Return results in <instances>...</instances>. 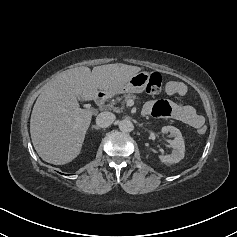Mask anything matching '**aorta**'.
Instances as JSON below:
<instances>
[{"instance_id": "1", "label": "aorta", "mask_w": 237, "mask_h": 237, "mask_svg": "<svg viewBox=\"0 0 237 237\" xmlns=\"http://www.w3.org/2000/svg\"><path fill=\"white\" fill-rule=\"evenodd\" d=\"M120 131L127 133L133 130V124L130 120L124 119L119 122Z\"/></svg>"}]
</instances>
